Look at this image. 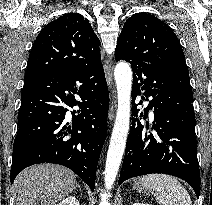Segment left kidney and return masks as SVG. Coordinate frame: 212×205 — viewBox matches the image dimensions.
Returning a JSON list of instances; mask_svg holds the SVG:
<instances>
[{"label":"left kidney","mask_w":212,"mask_h":205,"mask_svg":"<svg viewBox=\"0 0 212 205\" xmlns=\"http://www.w3.org/2000/svg\"><path fill=\"white\" fill-rule=\"evenodd\" d=\"M133 205H150V204L134 203Z\"/></svg>","instance_id":"1"}]
</instances>
